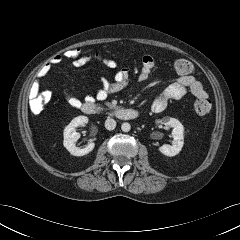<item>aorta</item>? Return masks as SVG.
I'll use <instances>...</instances> for the list:
<instances>
[{
    "label": "aorta",
    "instance_id": "762f6f07",
    "mask_svg": "<svg viewBox=\"0 0 240 240\" xmlns=\"http://www.w3.org/2000/svg\"><path fill=\"white\" fill-rule=\"evenodd\" d=\"M121 129L123 132H129L130 129H131V125L127 122H124L122 125H121Z\"/></svg>",
    "mask_w": 240,
    "mask_h": 240
}]
</instances>
